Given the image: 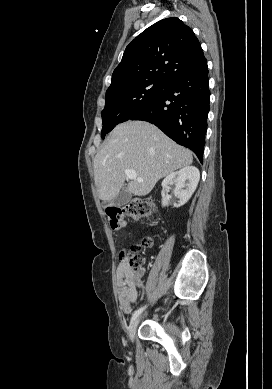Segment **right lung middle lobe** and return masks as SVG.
<instances>
[{"instance_id": "right-lung-middle-lobe-1", "label": "right lung middle lobe", "mask_w": 272, "mask_h": 389, "mask_svg": "<svg viewBox=\"0 0 272 389\" xmlns=\"http://www.w3.org/2000/svg\"><path fill=\"white\" fill-rule=\"evenodd\" d=\"M165 82L144 80L106 92L105 108L102 111L104 139L117 124L130 119L138 110L152 101L162 90Z\"/></svg>"}]
</instances>
